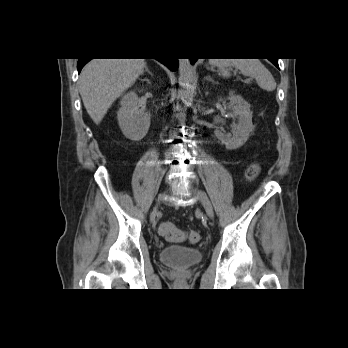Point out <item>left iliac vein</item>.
Masks as SVG:
<instances>
[{
    "label": "left iliac vein",
    "instance_id": "4c4485c4",
    "mask_svg": "<svg viewBox=\"0 0 348 348\" xmlns=\"http://www.w3.org/2000/svg\"><path fill=\"white\" fill-rule=\"evenodd\" d=\"M195 197L199 200V202L202 204L204 207L206 214L210 217L213 218L214 216V211L212 204L207 196V194L201 190H194Z\"/></svg>",
    "mask_w": 348,
    "mask_h": 348
}]
</instances>
